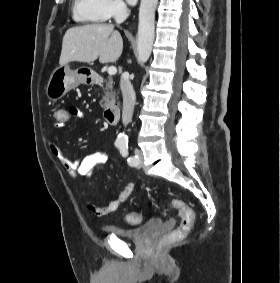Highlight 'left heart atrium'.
<instances>
[{
	"label": "left heart atrium",
	"mask_w": 280,
	"mask_h": 283,
	"mask_svg": "<svg viewBox=\"0 0 280 283\" xmlns=\"http://www.w3.org/2000/svg\"><path fill=\"white\" fill-rule=\"evenodd\" d=\"M127 2H128L130 5H134V4H136L137 0H127Z\"/></svg>",
	"instance_id": "1"
}]
</instances>
